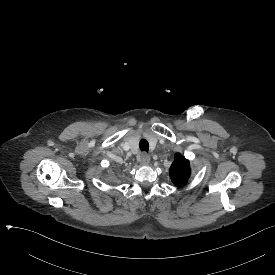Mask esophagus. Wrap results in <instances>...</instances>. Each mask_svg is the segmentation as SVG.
I'll list each match as a JSON object with an SVG mask.
<instances>
[{
    "mask_svg": "<svg viewBox=\"0 0 275 275\" xmlns=\"http://www.w3.org/2000/svg\"><path fill=\"white\" fill-rule=\"evenodd\" d=\"M140 163H141V165H143V166L148 165V164L150 163V158H149V156H148L147 154L141 155Z\"/></svg>",
    "mask_w": 275,
    "mask_h": 275,
    "instance_id": "34e87169",
    "label": "esophagus"
}]
</instances>
